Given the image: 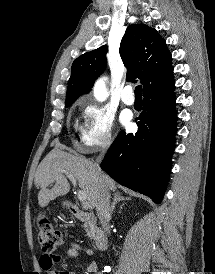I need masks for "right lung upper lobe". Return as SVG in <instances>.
<instances>
[{"mask_svg":"<svg viewBox=\"0 0 215 274\" xmlns=\"http://www.w3.org/2000/svg\"><path fill=\"white\" fill-rule=\"evenodd\" d=\"M107 46L84 53L74 60L66 93V104L89 92L106 66ZM120 56L127 68L126 79H140L143 95L174 83L171 53L166 41L145 24L128 26L120 44Z\"/></svg>","mask_w":215,"mask_h":274,"instance_id":"right-lung-upper-lobe-1","label":"right lung upper lobe"}]
</instances>
